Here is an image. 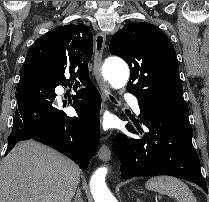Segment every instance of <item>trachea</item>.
Wrapping results in <instances>:
<instances>
[{
  "label": "trachea",
  "mask_w": 209,
  "mask_h": 202,
  "mask_svg": "<svg viewBox=\"0 0 209 202\" xmlns=\"http://www.w3.org/2000/svg\"><path fill=\"white\" fill-rule=\"evenodd\" d=\"M110 99H111L113 102H116L115 98H113L112 96H110Z\"/></svg>",
  "instance_id": "obj_1"
}]
</instances>
